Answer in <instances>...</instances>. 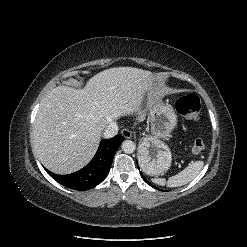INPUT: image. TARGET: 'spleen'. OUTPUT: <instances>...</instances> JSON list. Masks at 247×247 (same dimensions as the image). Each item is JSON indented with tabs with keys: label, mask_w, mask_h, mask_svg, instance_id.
Segmentation results:
<instances>
[{
	"label": "spleen",
	"mask_w": 247,
	"mask_h": 247,
	"mask_svg": "<svg viewBox=\"0 0 247 247\" xmlns=\"http://www.w3.org/2000/svg\"><path fill=\"white\" fill-rule=\"evenodd\" d=\"M203 166V161H195L189 164L180 173L170 177L167 181L164 178H155L153 182L158 185L166 184L168 187L182 186L192 181L200 173Z\"/></svg>",
	"instance_id": "1"
}]
</instances>
